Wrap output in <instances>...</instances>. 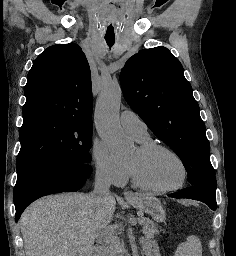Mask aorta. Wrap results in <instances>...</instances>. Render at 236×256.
<instances>
[{"instance_id":"aorta-1","label":"aorta","mask_w":236,"mask_h":256,"mask_svg":"<svg viewBox=\"0 0 236 256\" xmlns=\"http://www.w3.org/2000/svg\"><path fill=\"white\" fill-rule=\"evenodd\" d=\"M121 97L122 89L118 83H106L95 110L97 132L114 152H121L128 145L119 121Z\"/></svg>"}]
</instances>
